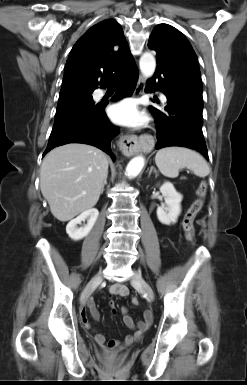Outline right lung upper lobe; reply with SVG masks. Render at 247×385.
<instances>
[{
	"label": "right lung upper lobe",
	"instance_id": "obj_1",
	"mask_svg": "<svg viewBox=\"0 0 247 385\" xmlns=\"http://www.w3.org/2000/svg\"><path fill=\"white\" fill-rule=\"evenodd\" d=\"M132 64L121 26L113 19L104 20L91 27L72 48L61 91L105 87Z\"/></svg>",
	"mask_w": 247,
	"mask_h": 385
}]
</instances>
